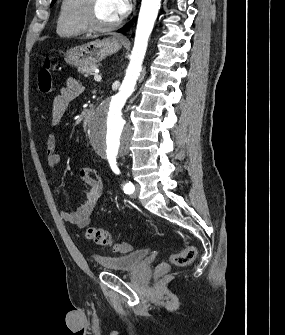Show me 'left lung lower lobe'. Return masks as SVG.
<instances>
[{
    "label": "left lung lower lobe",
    "instance_id": "1",
    "mask_svg": "<svg viewBox=\"0 0 285 335\" xmlns=\"http://www.w3.org/2000/svg\"><path fill=\"white\" fill-rule=\"evenodd\" d=\"M130 29V22L126 24L123 28H121L119 31L120 32H126Z\"/></svg>",
    "mask_w": 285,
    "mask_h": 335
}]
</instances>
